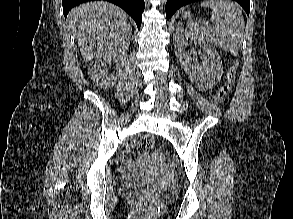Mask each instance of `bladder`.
Segmentation results:
<instances>
[{"label":"bladder","instance_id":"31cf9c89","mask_svg":"<svg viewBox=\"0 0 293 219\" xmlns=\"http://www.w3.org/2000/svg\"><path fill=\"white\" fill-rule=\"evenodd\" d=\"M148 157V156H147ZM142 181L138 180V179H135V178H130V179H127L125 181V184L127 185H130V186H133V185H137V184H141ZM160 192H163L160 188H157Z\"/></svg>","mask_w":293,"mask_h":219}]
</instances>
